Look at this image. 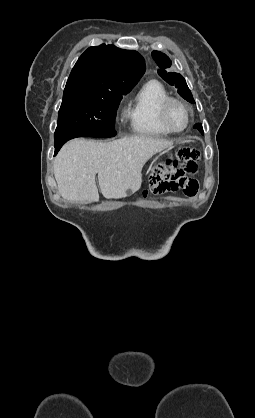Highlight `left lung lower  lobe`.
<instances>
[{"instance_id":"obj_1","label":"left lung lower lobe","mask_w":255,"mask_h":418,"mask_svg":"<svg viewBox=\"0 0 255 418\" xmlns=\"http://www.w3.org/2000/svg\"><path fill=\"white\" fill-rule=\"evenodd\" d=\"M194 128H202V125H201V124H196V125L194 126Z\"/></svg>"}]
</instances>
